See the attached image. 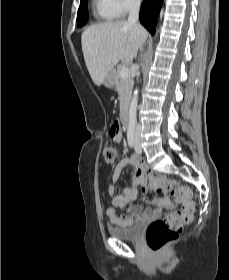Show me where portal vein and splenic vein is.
<instances>
[{
    "label": "portal vein and splenic vein",
    "instance_id": "18ae733b",
    "mask_svg": "<svg viewBox=\"0 0 229 280\" xmlns=\"http://www.w3.org/2000/svg\"><path fill=\"white\" fill-rule=\"evenodd\" d=\"M129 75V69L127 67H122L120 70V76L126 78Z\"/></svg>",
    "mask_w": 229,
    "mask_h": 280
}]
</instances>
